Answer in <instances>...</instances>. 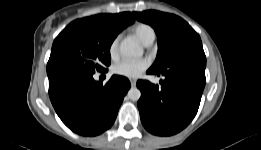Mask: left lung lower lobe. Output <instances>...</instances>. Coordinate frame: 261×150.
<instances>
[{
  "mask_svg": "<svg viewBox=\"0 0 261 150\" xmlns=\"http://www.w3.org/2000/svg\"><path fill=\"white\" fill-rule=\"evenodd\" d=\"M204 51H189L176 57L165 69H149L163 75L161 86L137 81L141 91L138 108L142 124L154 135L170 136L183 130L199 108L206 83Z\"/></svg>",
  "mask_w": 261,
  "mask_h": 150,
  "instance_id": "1",
  "label": "left lung lower lobe"
}]
</instances>
